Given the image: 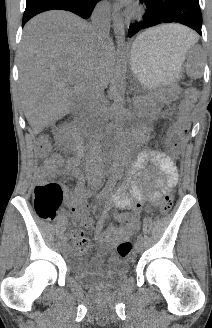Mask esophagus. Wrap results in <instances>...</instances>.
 <instances>
[{"label":"esophagus","instance_id":"esophagus-1","mask_svg":"<svg viewBox=\"0 0 212 328\" xmlns=\"http://www.w3.org/2000/svg\"><path fill=\"white\" fill-rule=\"evenodd\" d=\"M112 20H113L114 32L116 36H119L121 33H123V21L120 17L119 6L116 2L113 3Z\"/></svg>","mask_w":212,"mask_h":328}]
</instances>
